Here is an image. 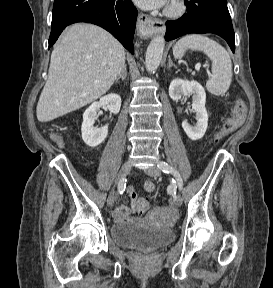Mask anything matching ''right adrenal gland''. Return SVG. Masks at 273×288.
I'll return each instance as SVG.
<instances>
[{"mask_svg":"<svg viewBox=\"0 0 273 288\" xmlns=\"http://www.w3.org/2000/svg\"><path fill=\"white\" fill-rule=\"evenodd\" d=\"M126 67H127V66L124 65L121 73L119 74V76H118L117 79L115 80V83H117V82L119 81V79L124 80V79L126 78V76H127V69H126Z\"/></svg>","mask_w":273,"mask_h":288,"instance_id":"right-adrenal-gland-1","label":"right adrenal gland"}]
</instances>
